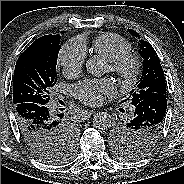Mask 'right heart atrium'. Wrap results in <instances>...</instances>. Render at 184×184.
Returning a JSON list of instances; mask_svg holds the SVG:
<instances>
[{
    "label": "right heart atrium",
    "mask_w": 184,
    "mask_h": 184,
    "mask_svg": "<svg viewBox=\"0 0 184 184\" xmlns=\"http://www.w3.org/2000/svg\"><path fill=\"white\" fill-rule=\"evenodd\" d=\"M86 46L82 39L73 38L66 42L58 56V63L67 75H77L81 72L86 59Z\"/></svg>",
    "instance_id": "obj_1"
}]
</instances>
